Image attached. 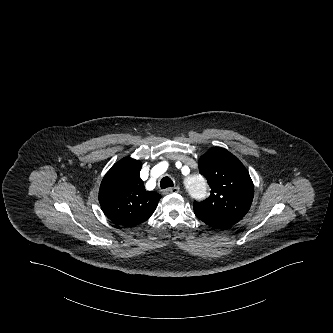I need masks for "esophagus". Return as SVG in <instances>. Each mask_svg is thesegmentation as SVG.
Wrapping results in <instances>:
<instances>
[{"label": "esophagus", "mask_w": 333, "mask_h": 333, "mask_svg": "<svg viewBox=\"0 0 333 333\" xmlns=\"http://www.w3.org/2000/svg\"><path fill=\"white\" fill-rule=\"evenodd\" d=\"M180 191L179 187L175 186V187H171V188H167L163 191L164 194H175L178 193Z\"/></svg>", "instance_id": "34e87169"}]
</instances>
